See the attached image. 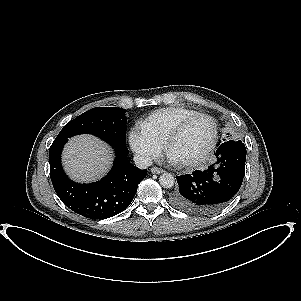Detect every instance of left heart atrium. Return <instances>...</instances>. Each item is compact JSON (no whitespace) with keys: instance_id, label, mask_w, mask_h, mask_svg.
Segmentation results:
<instances>
[{"instance_id":"obj_1","label":"left heart atrium","mask_w":301,"mask_h":301,"mask_svg":"<svg viewBox=\"0 0 301 301\" xmlns=\"http://www.w3.org/2000/svg\"><path fill=\"white\" fill-rule=\"evenodd\" d=\"M168 157H169V160L172 164H175V165H182L183 164V162L179 158H177V157H175L171 154H169Z\"/></svg>"}]
</instances>
